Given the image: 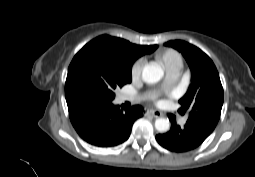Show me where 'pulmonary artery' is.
I'll use <instances>...</instances> for the list:
<instances>
[{"label": "pulmonary artery", "mask_w": 255, "mask_h": 177, "mask_svg": "<svg viewBox=\"0 0 255 177\" xmlns=\"http://www.w3.org/2000/svg\"><path fill=\"white\" fill-rule=\"evenodd\" d=\"M176 79H177V75H173V74H167V80H166V84L167 85H173L175 82H176ZM121 99L123 101H126V100H133L134 98L129 96V95H123L121 97ZM179 123L181 125H184L186 123V118H181Z\"/></svg>", "instance_id": "pulmonary-artery-1"}]
</instances>
